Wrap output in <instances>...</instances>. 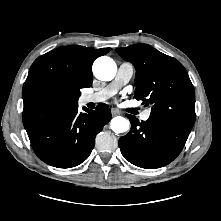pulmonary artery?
Returning <instances> with one entry per match:
<instances>
[{"instance_id": "e3ab8cb5", "label": "pulmonary artery", "mask_w": 221, "mask_h": 221, "mask_svg": "<svg viewBox=\"0 0 221 221\" xmlns=\"http://www.w3.org/2000/svg\"><path fill=\"white\" fill-rule=\"evenodd\" d=\"M134 73L133 65L128 62H123L119 65L117 74L114 78V80L109 83L107 86L102 88L101 90L86 94L82 97L81 101L83 104H89V103H100L103 102L113 95L116 94V92L124 85H126L130 79L132 78ZM150 110H146L142 115L141 119L146 121L150 117Z\"/></svg>"}]
</instances>
